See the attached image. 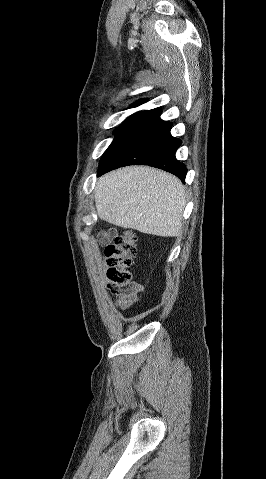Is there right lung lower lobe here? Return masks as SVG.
<instances>
[{
  "label": "right lung lower lobe",
  "mask_w": 266,
  "mask_h": 479,
  "mask_svg": "<svg viewBox=\"0 0 266 479\" xmlns=\"http://www.w3.org/2000/svg\"><path fill=\"white\" fill-rule=\"evenodd\" d=\"M160 114L156 109L142 111L128 122L103 154L98 176L122 166L149 165L185 182L187 168L175 157L181 140L171 136L172 123Z\"/></svg>",
  "instance_id": "obj_1"
}]
</instances>
